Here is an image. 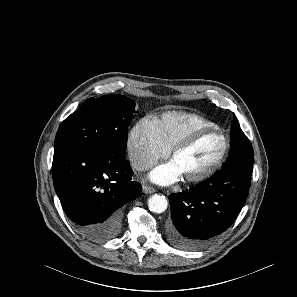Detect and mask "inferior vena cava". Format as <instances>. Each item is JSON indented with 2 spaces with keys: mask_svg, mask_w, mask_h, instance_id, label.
<instances>
[{
  "mask_svg": "<svg viewBox=\"0 0 297 297\" xmlns=\"http://www.w3.org/2000/svg\"><path fill=\"white\" fill-rule=\"evenodd\" d=\"M133 168H135L138 171H144V170H148L149 168H151L153 166V163L151 161H147L145 159H140L137 161H134L132 163Z\"/></svg>",
  "mask_w": 297,
  "mask_h": 297,
  "instance_id": "1",
  "label": "inferior vena cava"
}]
</instances>
